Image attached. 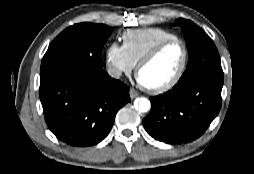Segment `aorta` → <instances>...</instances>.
<instances>
[{"instance_id": "aorta-1", "label": "aorta", "mask_w": 254, "mask_h": 174, "mask_svg": "<svg viewBox=\"0 0 254 174\" xmlns=\"http://www.w3.org/2000/svg\"><path fill=\"white\" fill-rule=\"evenodd\" d=\"M134 106L139 112L145 113L150 110L151 103L147 98L141 97L135 100Z\"/></svg>"}]
</instances>
